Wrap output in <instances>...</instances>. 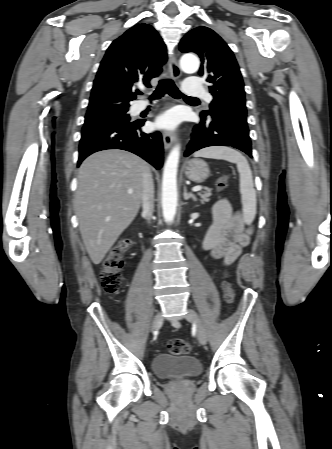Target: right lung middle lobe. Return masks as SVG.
<instances>
[{"instance_id":"1","label":"right lung middle lobe","mask_w":332,"mask_h":449,"mask_svg":"<svg viewBox=\"0 0 332 449\" xmlns=\"http://www.w3.org/2000/svg\"><path fill=\"white\" fill-rule=\"evenodd\" d=\"M128 108L107 109L87 113L84 126L110 121H130Z\"/></svg>"}]
</instances>
